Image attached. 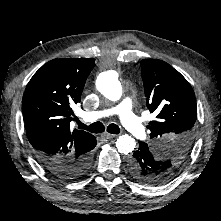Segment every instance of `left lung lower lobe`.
I'll return each mask as SVG.
<instances>
[{
    "instance_id": "obj_1",
    "label": "left lung lower lobe",
    "mask_w": 221,
    "mask_h": 221,
    "mask_svg": "<svg viewBox=\"0 0 221 221\" xmlns=\"http://www.w3.org/2000/svg\"><path fill=\"white\" fill-rule=\"evenodd\" d=\"M139 143L138 150L134 152L129 160L130 173L142 184L158 185L155 175L161 170V165L147 144Z\"/></svg>"
}]
</instances>
